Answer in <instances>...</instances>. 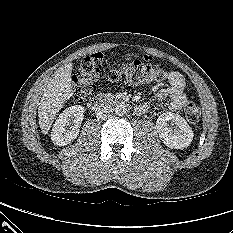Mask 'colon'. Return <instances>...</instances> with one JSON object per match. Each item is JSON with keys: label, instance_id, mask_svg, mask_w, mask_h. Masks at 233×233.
<instances>
[{"label": "colon", "instance_id": "1", "mask_svg": "<svg viewBox=\"0 0 233 233\" xmlns=\"http://www.w3.org/2000/svg\"><path fill=\"white\" fill-rule=\"evenodd\" d=\"M166 77V72L158 65L141 61L109 64L102 53H93L83 58L73 76V99L77 102L86 100L94 91V82L102 78L138 85L163 81ZM184 113L189 123H198L200 110L194 103H188Z\"/></svg>", "mask_w": 233, "mask_h": 233}]
</instances>
